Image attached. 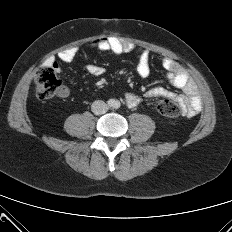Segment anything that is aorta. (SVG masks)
<instances>
[{
    "instance_id": "762f6f07",
    "label": "aorta",
    "mask_w": 232,
    "mask_h": 232,
    "mask_svg": "<svg viewBox=\"0 0 232 232\" xmlns=\"http://www.w3.org/2000/svg\"><path fill=\"white\" fill-rule=\"evenodd\" d=\"M114 104H115V106H118L119 102H118V101H115V103H114Z\"/></svg>"
}]
</instances>
